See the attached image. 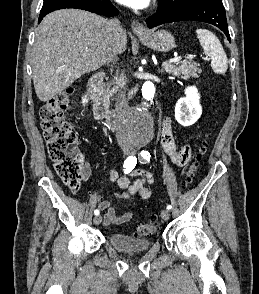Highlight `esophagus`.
Listing matches in <instances>:
<instances>
[{
	"label": "esophagus",
	"instance_id": "34e87169",
	"mask_svg": "<svg viewBox=\"0 0 259 294\" xmlns=\"http://www.w3.org/2000/svg\"><path fill=\"white\" fill-rule=\"evenodd\" d=\"M131 29L137 36H144L146 34L145 26L137 20L132 21Z\"/></svg>",
	"mask_w": 259,
	"mask_h": 294
}]
</instances>
